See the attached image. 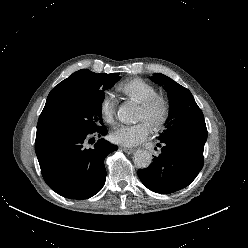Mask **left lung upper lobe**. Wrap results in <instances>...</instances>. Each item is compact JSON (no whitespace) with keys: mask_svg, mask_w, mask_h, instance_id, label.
<instances>
[{"mask_svg":"<svg viewBox=\"0 0 248 248\" xmlns=\"http://www.w3.org/2000/svg\"><path fill=\"white\" fill-rule=\"evenodd\" d=\"M150 79L165 89L170 101L169 118L159 140L162 142L168 139H183L204 148L207 128L203 113L191 92L160 73L153 74Z\"/></svg>","mask_w":248,"mask_h":248,"instance_id":"1","label":"left lung upper lobe"}]
</instances>
